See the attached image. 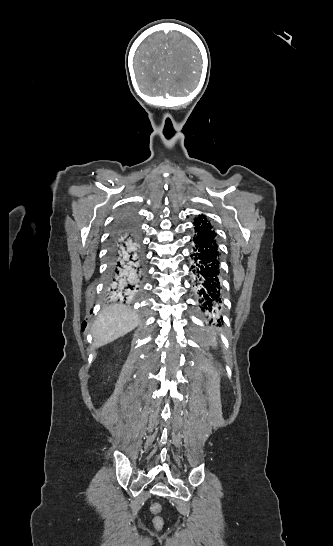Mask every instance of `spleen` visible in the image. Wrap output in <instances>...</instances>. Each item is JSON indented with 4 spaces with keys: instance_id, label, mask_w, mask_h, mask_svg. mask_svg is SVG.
I'll use <instances>...</instances> for the list:
<instances>
[{
    "instance_id": "3e777b00",
    "label": "spleen",
    "mask_w": 333,
    "mask_h": 546,
    "mask_svg": "<svg viewBox=\"0 0 333 546\" xmlns=\"http://www.w3.org/2000/svg\"><path fill=\"white\" fill-rule=\"evenodd\" d=\"M212 343H214V345H215V343H216L215 337H213Z\"/></svg>"
}]
</instances>
